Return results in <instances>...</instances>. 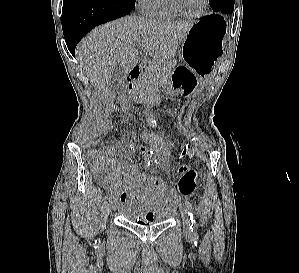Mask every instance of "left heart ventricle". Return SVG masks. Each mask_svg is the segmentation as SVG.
Here are the masks:
<instances>
[{
  "label": "left heart ventricle",
  "mask_w": 299,
  "mask_h": 273,
  "mask_svg": "<svg viewBox=\"0 0 299 273\" xmlns=\"http://www.w3.org/2000/svg\"><path fill=\"white\" fill-rule=\"evenodd\" d=\"M179 6L187 13L194 14L201 10L204 0H177Z\"/></svg>",
  "instance_id": "obj_1"
}]
</instances>
